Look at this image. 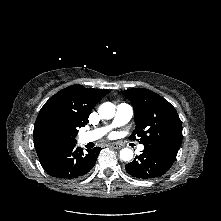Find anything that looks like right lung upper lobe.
Segmentation results:
<instances>
[{
  "label": "right lung upper lobe",
  "instance_id": "obj_1",
  "mask_svg": "<svg viewBox=\"0 0 221 221\" xmlns=\"http://www.w3.org/2000/svg\"><path fill=\"white\" fill-rule=\"evenodd\" d=\"M110 91L85 88L82 85L66 87L52 96L41 108L35 127L44 121L60 122L83 127L95 104Z\"/></svg>",
  "mask_w": 221,
  "mask_h": 221
}]
</instances>
